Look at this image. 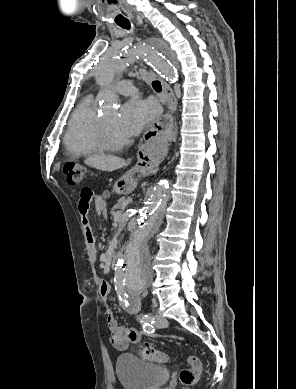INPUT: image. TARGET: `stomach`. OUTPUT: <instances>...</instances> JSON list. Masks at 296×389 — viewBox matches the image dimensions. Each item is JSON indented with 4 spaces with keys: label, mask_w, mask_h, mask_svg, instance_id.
I'll return each mask as SVG.
<instances>
[{
    "label": "stomach",
    "mask_w": 296,
    "mask_h": 389,
    "mask_svg": "<svg viewBox=\"0 0 296 389\" xmlns=\"http://www.w3.org/2000/svg\"><path fill=\"white\" fill-rule=\"evenodd\" d=\"M151 172L152 169H139L137 171L130 170L128 172L129 178L122 177L115 183L114 192L117 194H124L131 191L134 185L138 182V179H144L145 177L149 176Z\"/></svg>",
    "instance_id": "0dacf381"
}]
</instances>
